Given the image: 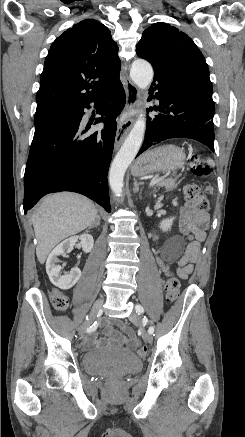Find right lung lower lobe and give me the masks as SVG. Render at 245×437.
Returning a JSON list of instances; mask_svg holds the SVG:
<instances>
[{"instance_id": "98d812e1", "label": "right lung lower lobe", "mask_w": 245, "mask_h": 437, "mask_svg": "<svg viewBox=\"0 0 245 437\" xmlns=\"http://www.w3.org/2000/svg\"><path fill=\"white\" fill-rule=\"evenodd\" d=\"M120 81L91 100L66 104L35 126L24 175V212L44 195L72 191L83 194L110 212L107 173L116 135V117L125 105ZM97 103L96 123L101 132L84 137L81 120L84 109Z\"/></svg>"}]
</instances>
